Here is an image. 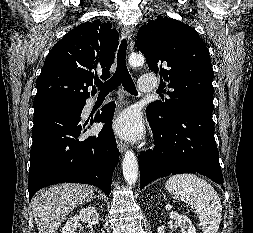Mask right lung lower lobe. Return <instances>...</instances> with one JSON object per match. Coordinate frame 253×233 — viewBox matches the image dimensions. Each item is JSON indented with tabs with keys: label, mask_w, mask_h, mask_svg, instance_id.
Instances as JSON below:
<instances>
[{
	"label": "right lung lower lobe",
	"mask_w": 253,
	"mask_h": 233,
	"mask_svg": "<svg viewBox=\"0 0 253 233\" xmlns=\"http://www.w3.org/2000/svg\"><path fill=\"white\" fill-rule=\"evenodd\" d=\"M85 102L79 106L52 104L35 110L30 152L29 200L39 189L62 182L99 187L109 196L119 160L112 131L113 102L94 121L106 125L95 136H84L90 126L80 122ZM93 122V119H92Z\"/></svg>",
	"instance_id": "obj_1"
}]
</instances>
